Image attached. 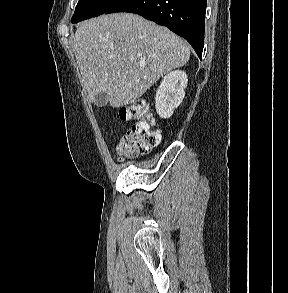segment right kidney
I'll return each mask as SVG.
<instances>
[{"instance_id": "obj_1", "label": "right kidney", "mask_w": 288, "mask_h": 293, "mask_svg": "<svg viewBox=\"0 0 288 293\" xmlns=\"http://www.w3.org/2000/svg\"><path fill=\"white\" fill-rule=\"evenodd\" d=\"M187 81V74L181 70L169 72L162 79L155 97L156 111L161 118H169L182 103Z\"/></svg>"}]
</instances>
